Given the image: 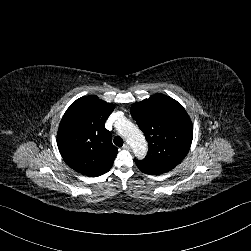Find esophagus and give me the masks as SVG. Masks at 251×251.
<instances>
[{
    "label": "esophagus",
    "mask_w": 251,
    "mask_h": 251,
    "mask_svg": "<svg viewBox=\"0 0 251 251\" xmlns=\"http://www.w3.org/2000/svg\"><path fill=\"white\" fill-rule=\"evenodd\" d=\"M123 148L127 150L131 149L130 145L127 142L124 143Z\"/></svg>",
    "instance_id": "obj_1"
}]
</instances>
